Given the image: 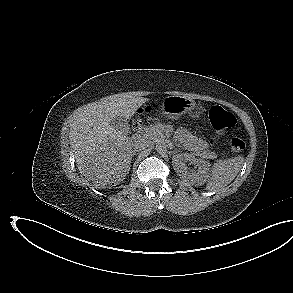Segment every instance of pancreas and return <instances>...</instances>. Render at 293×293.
I'll return each mask as SVG.
<instances>
[{
  "instance_id": "1",
  "label": "pancreas",
  "mask_w": 293,
  "mask_h": 293,
  "mask_svg": "<svg viewBox=\"0 0 293 293\" xmlns=\"http://www.w3.org/2000/svg\"><path fill=\"white\" fill-rule=\"evenodd\" d=\"M165 126L161 123L150 125L145 129L144 138L150 141H155L164 137ZM204 158L214 159L217 157L216 153L210 151L197 152Z\"/></svg>"
}]
</instances>
